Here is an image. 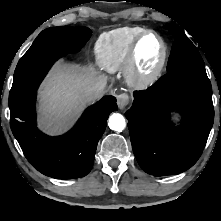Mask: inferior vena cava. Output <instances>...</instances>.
<instances>
[{
  "mask_svg": "<svg viewBox=\"0 0 221 221\" xmlns=\"http://www.w3.org/2000/svg\"><path fill=\"white\" fill-rule=\"evenodd\" d=\"M107 81L103 78L97 77L86 88L85 94L89 100H95L101 96L106 88Z\"/></svg>",
  "mask_w": 221,
  "mask_h": 221,
  "instance_id": "1",
  "label": "inferior vena cava"
}]
</instances>
